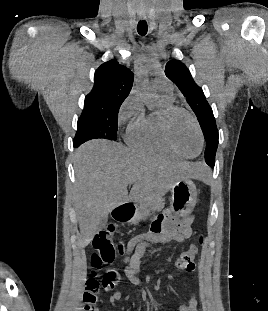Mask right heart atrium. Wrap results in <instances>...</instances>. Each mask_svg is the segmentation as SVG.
Segmentation results:
<instances>
[{"mask_svg": "<svg viewBox=\"0 0 268 311\" xmlns=\"http://www.w3.org/2000/svg\"><path fill=\"white\" fill-rule=\"evenodd\" d=\"M143 113L142 104L138 97L130 96L122 105L119 112V123L125 124L126 122L136 119Z\"/></svg>", "mask_w": 268, "mask_h": 311, "instance_id": "right-heart-atrium-1", "label": "right heart atrium"}]
</instances>
